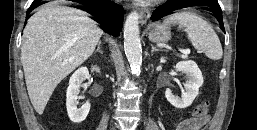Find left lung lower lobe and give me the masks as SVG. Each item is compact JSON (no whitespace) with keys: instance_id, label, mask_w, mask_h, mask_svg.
<instances>
[{"instance_id":"0a47b994","label":"left lung lower lobe","mask_w":257,"mask_h":130,"mask_svg":"<svg viewBox=\"0 0 257 130\" xmlns=\"http://www.w3.org/2000/svg\"><path fill=\"white\" fill-rule=\"evenodd\" d=\"M189 6H202L204 10L211 12L212 15L220 22L221 29L225 32L222 10L217 0H168L153 12L151 20L157 21L167 15L172 14L176 10Z\"/></svg>"}]
</instances>
